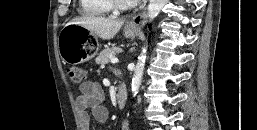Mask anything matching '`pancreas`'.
Listing matches in <instances>:
<instances>
[{
  "label": "pancreas",
  "instance_id": "pancreas-1",
  "mask_svg": "<svg viewBox=\"0 0 257 130\" xmlns=\"http://www.w3.org/2000/svg\"><path fill=\"white\" fill-rule=\"evenodd\" d=\"M119 51L118 47H111V48H106L103 51L100 52L98 57L95 59L97 64H101L104 66L105 64H108L111 60V58L117 54Z\"/></svg>",
  "mask_w": 257,
  "mask_h": 130
}]
</instances>
